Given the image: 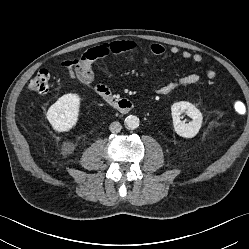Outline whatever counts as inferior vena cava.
Wrapping results in <instances>:
<instances>
[{"mask_svg":"<svg viewBox=\"0 0 249 249\" xmlns=\"http://www.w3.org/2000/svg\"><path fill=\"white\" fill-rule=\"evenodd\" d=\"M122 129V126L119 122L117 121H114L110 124V127H109V130L112 132V133H118L120 132Z\"/></svg>","mask_w":249,"mask_h":249,"instance_id":"602c4592","label":"inferior vena cava"}]
</instances>
